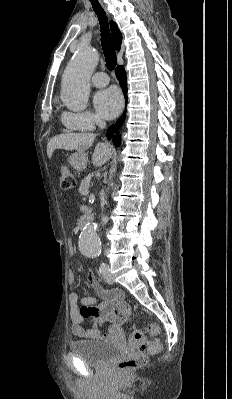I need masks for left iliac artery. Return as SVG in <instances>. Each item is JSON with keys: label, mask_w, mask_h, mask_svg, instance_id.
<instances>
[{"label": "left iliac artery", "mask_w": 232, "mask_h": 399, "mask_svg": "<svg viewBox=\"0 0 232 399\" xmlns=\"http://www.w3.org/2000/svg\"><path fill=\"white\" fill-rule=\"evenodd\" d=\"M96 256H99V254H95ZM110 272V267L107 263H102L100 265V273L103 275H106Z\"/></svg>", "instance_id": "1"}]
</instances>
